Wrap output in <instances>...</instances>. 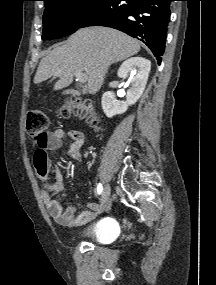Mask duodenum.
Returning a JSON list of instances; mask_svg holds the SVG:
<instances>
[{
    "instance_id": "410a0bca",
    "label": "duodenum",
    "mask_w": 216,
    "mask_h": 285,
    "mask_svg": "<svg viewBox=\"0 0 216 285\" xmlns=\"http://www.w3.org/2000/svg\"><path fill=\"white\" fill-rule=\"evenodd\" d=\"M73 94H77L75 91H72Z\"/></svg>"
}]
</instances>
